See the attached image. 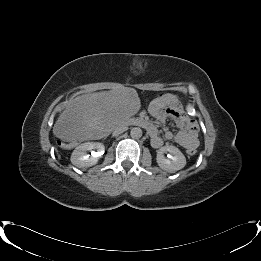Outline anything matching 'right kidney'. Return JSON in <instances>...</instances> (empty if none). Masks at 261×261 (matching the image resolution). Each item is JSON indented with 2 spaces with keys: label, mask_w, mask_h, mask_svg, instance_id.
Segmentation results:
<instances>
[{
  "label": "right kidney",
  "mask_w": 261,
  "mask_h": 261,
  "mask_svg": "<svg viewBox=\"0 0 261 261\" xmlns=\"http://www.w3.org/2000/svg\"><path fill=\"white\" fill-rule=\"evenodd\" d=\"M104 149L100 142H85L73 150L70 160L78 168H88L98 163V157L104 153ZM88 151L91 155L87 154Z\"/></svg>",
  "instance_id": "obj_1"
}]
</instances>
